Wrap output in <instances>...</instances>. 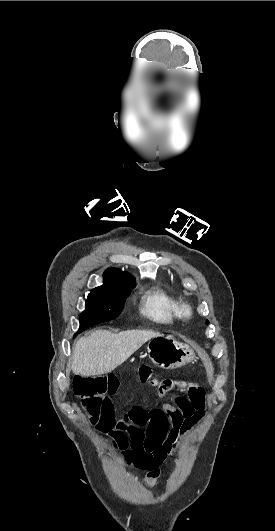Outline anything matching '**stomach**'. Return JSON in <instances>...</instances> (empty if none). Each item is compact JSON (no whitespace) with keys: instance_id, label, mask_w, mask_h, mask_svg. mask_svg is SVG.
<instances>
[{"instance_id":"obj_1","label":"stomach","mask_w":275,"mask_h":531,"mask_svg":"<svg viewBox=\"0 0 275 531\" xmlns=\"http://www.w3.org/2000/svg\"><path fill=\"white\" fill-rule=\"evenodd\" d=\"M195 353L186 343H178L173 335H159L150 339L145 353L147 361H152L161 369H179L194 361Z\"/></svg>"}]
</instances>
